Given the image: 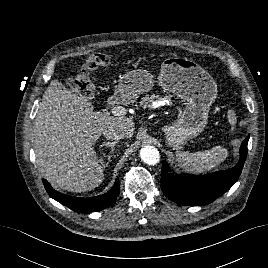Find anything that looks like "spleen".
I'll return each instance as SVG.
<instances>
[{
    "label": "spleen",
    "mask_w": 268,
    "mask_h": 268,
    "mask_svg": "<svg viewBox=\"0 0 268 268\" xmlns=\"http://www.w3.org/2000/svg\"><path fill=\"white\" fill-rule=\"evenodd\" d=\"M228 121L231 125L236 123V116L233 110H228ZM176 157L178 163L184 170L194 174H200L211 170L223 162L228 157V151L222 146H215L210 150L196 153L177 151Z\"/></svg>",
    "instance_id": "spleen-1"
}]
</instances>
